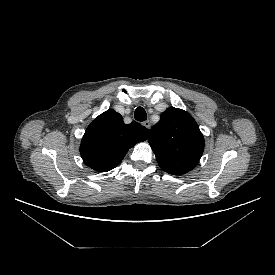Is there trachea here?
Segmentation results:
<instances>
[{
	"label": "trachea",
	"instance_id": "3493384b",
	"mask_svg": "<svg viewBox=\"0 0 275 275\" xmlns=\"http://www.w3.org/2000/svg\"><path fill=\"white\" fill-rule=\"evenodd\" d=\"M134 117L137 121H145L147 119V113L143 107H137L135 109Z\"/></svg>",
	"mask_w": 275,
	"mask_h": 275
}]
</instances>
